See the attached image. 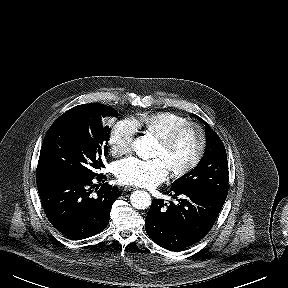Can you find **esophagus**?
Listing matches in <instances>:
<instances>
[{"label":"esophagus","mask_w":288,"mask_h":288,"mask_svg":"<svg viewBox=\"0 0 288 288\" xmlns=\"http://www.w3.org/2000/svg\"><path fill=\"white\" fill-rule=\"evenodd\" d=\"M135 189H136V187H133V186H125L123 188L124 191H132V190H135Z\"/></svg>","instance_id":"obj_1"}]
</instances>
